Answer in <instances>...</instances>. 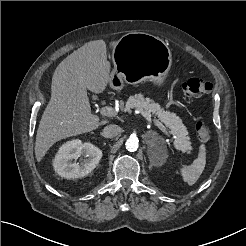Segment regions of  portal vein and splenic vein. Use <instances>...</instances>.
I'll return each instance as SVG.
<instances>
[{
  "instance_id": "1",
  "label": "portal vein and splenic vein",
  "mask_w": 246,
  "mask_h": 246,
  "mask_svg": "<svg viewBox=\"0 0 246 246\" xmlns=\"http://www.w3.org/2000/svg\"><path fill=\"white\" fill-rule=\"evenodd\" d=\"M101 114L106 116V117H115L117 115V112L115 111L114 108L110 106H105L101 109ZM155 125L163 131L165 134H168L167 129L164 127V125L157 119H154Z\"/></svg>"
}]
</instances>
